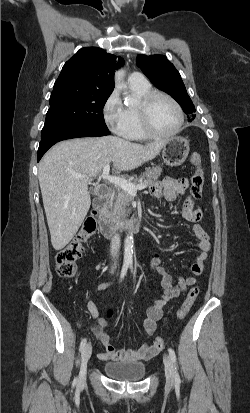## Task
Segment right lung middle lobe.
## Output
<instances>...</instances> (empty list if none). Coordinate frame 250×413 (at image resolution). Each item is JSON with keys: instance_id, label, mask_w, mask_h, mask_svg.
<instances>
[{"instance_id": "dd1d6c3e", "label": "right lung middle lobe", "mask_w": 250, "mask_h": 413, "mask_svg": "<svg viewBox=\"0 0 250 413\" xmlns=\"http://www.w3.org/2000/svg\"><path fill=\"white\" fill-rule=\"evenodd\" d=\"M110 91H98L68 85L53 89L41 139L73 127L108 130L103 107Z\"/></svg>"}]
</instances>
